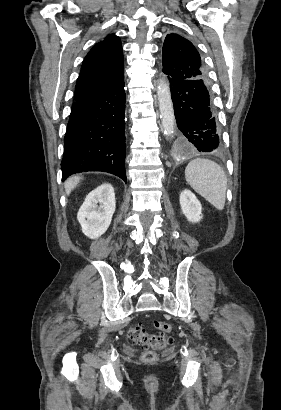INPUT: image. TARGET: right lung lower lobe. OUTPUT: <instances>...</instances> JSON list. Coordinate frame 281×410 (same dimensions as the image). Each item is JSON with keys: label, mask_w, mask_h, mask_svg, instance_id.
Instances as JSON below:
<instances>
[{"label": "right lung lower lobe", "mask_w": 281, "mask_h": 410, "mask_svg": "<svg viewBox=\"0 0 281 410\" xmlns=\"http://www.w3.org/2000/svg\"><path fill=\"white\" fill-rule=\"evenodd\" d=\"M124 82L75 101L64 137L62 180L83 171H105L126 182Z\"/></svg>", "instance_id": "98d812e1"}]
</instances>
